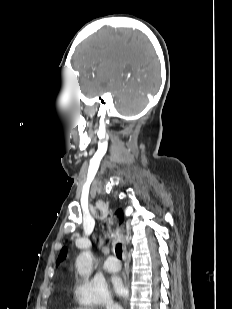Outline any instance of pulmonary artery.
Segmentation results:
<instances>
[{"label": "pulmonary artery", "instance_id": "e3ab8cb5", "mask_svg": "<svg viewBox=\"0 0 232 309\" xmlns=\"http://www.w3.org/2000/svg\"><path fill=\"white\" fill-rule=\"evenodd\" d=\"M103 268L108 272L114 273L120 270V264L115 257L109 256L104 260Z\"/></svg>", "mask_w": 232, "mask_h": 309}]
</instances>
